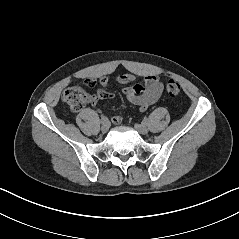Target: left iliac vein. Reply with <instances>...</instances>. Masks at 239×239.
Segmentation results:
<instances>
[{
  "label": "left iliac vein",
  "mask_w": 239,
  "mask_h": 239,
  "mask_svg": "<svg viewBox=\"0 0 239 239\" xmlns=\"http://www.w3.org/2000/svg\"><path fill=\"white\" fill-rule=\"evenodd\" d=\"M135 129L140 133V134H147L148 133V128L144 124H135Z\"/></svg>",
  "instance_id": "obj_1"
}]
</instances>
